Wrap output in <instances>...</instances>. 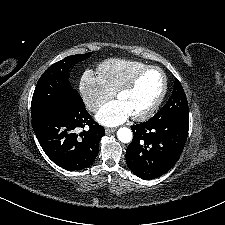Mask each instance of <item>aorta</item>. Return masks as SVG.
Masks as SVG:
<instances>
[{
    "mask_svg": "<svg viewBox=\"0 0 225 225\" xmlns=\"http://www.w3.org/2000/svg\"><path fill=\"white\" fill-rule=\"evenodd\" d=\"M117 137L122 143H129L132 140V131L127 127H121L117 131Z\"/></svg>",
    "mask_w": 225,
    "mask_h": 225,
    "instance_id": "762f6f07",
    "label": "aorta"
}]
</instances>
